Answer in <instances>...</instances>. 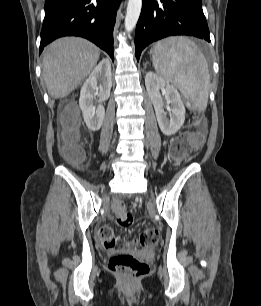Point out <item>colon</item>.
<instances>
[{"label": "colon", "mask_w": 261, "mask_h": 306, "mask_svg": "<svg viewBox=\"0 0 261 306\" xmlns=\"http://www.w3.org/2000/svg\"><path fill=\"white\" fill-rule=\"evenodd\" d=\"M80 120L78 113L73 109L65 110L60 117V140L63 155L73 164H78L83 159V152L78 146L80 138ZM203 141L201 132H184L177 136L170 145L172 159L177 162L186 160ZM115 217L118 225L128 227L133 223V215L121 204H115ZM99 238L108 251H114L119 246L118 238L112 228L102 226L99 229ZM159 239V232L155 228L143 230L139 236L127 241V247L149 248L154 246ZM109 269L126 282H132L148 272L145 261L126 252L114 254L109 260Z\"/></svg>", "instance_id": "1"}]
</instances>
